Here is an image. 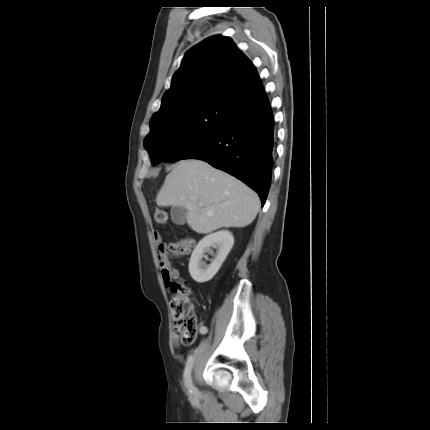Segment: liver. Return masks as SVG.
<instances>
[{
    "label": "liver",
    "instance_id": "1",
    "mask_svg": "<svg viewBox=\"0 0 430 430\" xmlns=\"http://www.w3.org/2000/svg\"><path fill=\"white\" fill-rule=\"evenodd\" d=\"M160 207L187 209V224L197 233L245 227L255 219L258 195L237 178L199 159L179 161L156 197Z\"/></svg>",
    "mask_w": 430,
    "mask_h": 430
}]
</instances>
